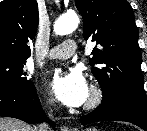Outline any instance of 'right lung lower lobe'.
Segmentation results:
<instances>
[{
	"label": "right lung lower lobe",
	"instance_id": "98d812e1",
	"mask_svg": "<svg viewBox=\"0 0 147 131\" xmlns=\"http://www.w3.org/2000/svg\"><path fill=\"white\" fill-rule=\"evenodd\" d=\"M0 116L13 117L27 123L45 119L35 87L28 91L0 89ZM51 126H55L53 122Z\"/></svg>",
	"mask_w": 147,
	"mask_h": 131
}]
</instances>
